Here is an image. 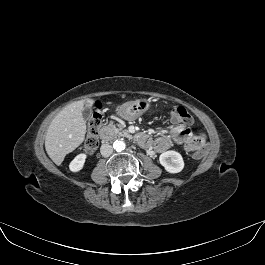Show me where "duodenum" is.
Returning <instances> with one entry per match:
<instances>
[{
    "mask_svg": "<svg viewBox=\"0 0 265 265\" xmlns=\"http://www.w3.org/2000/svg\"><path fill=\"white\" fill-rule=\"evenodd\" d=\"M112 135V130L111 128L105 126L103 128H101L100 130V137L103 139V140H108ZM135 140L141 145V146H149L150 145V136L148 134H145V133H141L137 136L134 137Z\"/></svg>",
    "mask_w": 265,
    "mask_h": 265,
    "instance_id": "duodenum-1",
    "label": "duodenum"
}]
</instances>
